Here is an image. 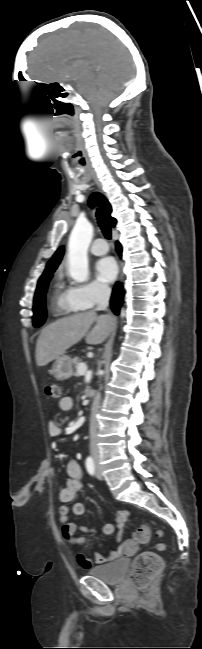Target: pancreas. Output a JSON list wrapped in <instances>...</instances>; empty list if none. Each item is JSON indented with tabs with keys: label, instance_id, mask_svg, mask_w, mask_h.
I'll use <instances>...</instances> for the list:
<instances>
[{
	"label": "pancreas",
	"instance_id": "obj_1",
	"mask_svg": "<svg viewBox=\"0 0 202 649\" xmlns=\"http://www.w3.org/2000/svg\"><path fill=\"white\" fill-rule=\"evenodd\" d=\"M79 364H81V362H80L79 360H76V361H75V368H76V371L74 372V375H75V376H80V374H79V372H78V366H79Z\"/></svg>",
	"mask_w": 202,
	"mask_h": 649
}]
</instances>
